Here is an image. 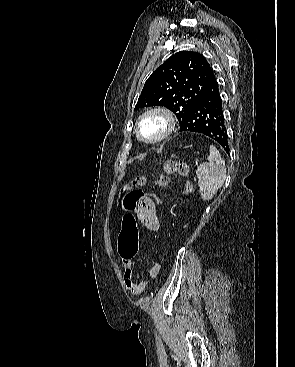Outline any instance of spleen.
<instances>
[{"mask_svg": "<svg viewBox=\"0 0 295 367\" xmlns=\"http://www.w3.org/2000/svg\"><path fill=\"white\" fill-rule=\"evenodd\" d=\"M196 175L202 199L211 200L226 179L225 161L215 146L210 145L208 161L200 164Z\"/></svg>", "mask_w": 295, "mask_h": 367, "instance_id": "obj_1", "label": "spleen"}]
</instances>
